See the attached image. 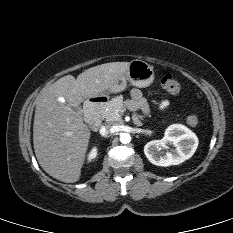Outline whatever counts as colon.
I'll return each mask as SVG.
<instances>
[{"label":"colon","mask_w":233,"mask_h":233,"mask_svg":"<svg viewBox=\"0 0 233 233\" xmlns=\"http://www.w3.org/2000/svg\"><path fill=\"white\" fill-rule=\"evenodd\" d=\"M162 87L171 94H177L180 92V84L172 73H166L161 78ZM187 123L195 127L199 123V118L196 114H191L187 117Z\"/></svg>","instance_id":"obj_1"}]
</instances>
